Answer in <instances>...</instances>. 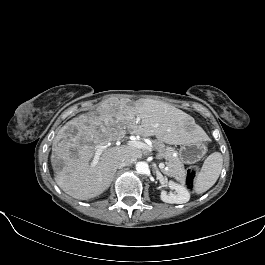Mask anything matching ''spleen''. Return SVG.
I'll use <instances>...</instances> for the list:
<instances>
[{
    "instance_id": "spleen-1",
    "label": "spleen",
    "mask_w": 265,
    "mask_h": 265,
    "mask_svg": "<svg viewBox=\"0 0 265 265\" xmlns=\"http://www.w3.org/2000/svg\"><path fill=\"white\" fill-rule=\"evenodd\" d=\"M222 166L223 158L220 152H214L207 157L194 184V190L197 194L206 192L216 183Z\"/></svg>"
}]
</instances>
